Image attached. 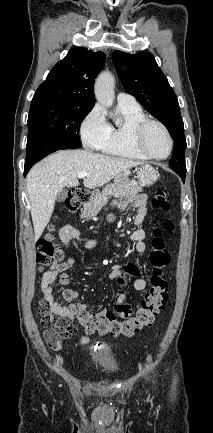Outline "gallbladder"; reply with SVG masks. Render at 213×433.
Listing matches in <instances>:
<instances>
[{"label":"gallbladder","instance_id":"gallbladder-1","mask_svg":"<svg viewBox=\"0 0 213 433\" xmlns=\"http://www.w3.org/2000/svg\"><path fill=\"white\" fill-rule=\"evenodd\" d=\"M67 194H68V191H67V190H65V189L61 190V191L58 193V195H57V197H56V200H57L58 202H62V201H64V200L67 198Z\"/></svg>","mask_w":213,"mask_h":433}]
</instances>
